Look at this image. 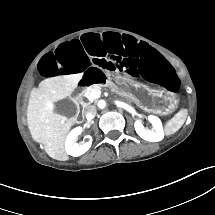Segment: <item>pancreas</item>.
<instances>
[{"label": "pancreas", "mask_w": 215, "mask_h": 215, "mask_svg": "<svg viewBox=\"0 0 215 215\" xmlns=\"http://www.w3.org/2000/svg\"><path fill=\"white\" fill-rule=\"evenodd\" d=\"M109 88L112 92H114L115 94L119 95V96H126L125 92L121 89H119L113 82H109ZM102 84H94V85H91L90 87H88L87 89L84 90V94L85 93H88V97L91 98L92 100L93 99V95L91 93L92 90H95V91H100L101 88H102Z\"/></svg>", "instance_id": "cf45deb5"}]
</instances>
